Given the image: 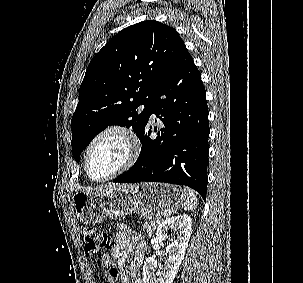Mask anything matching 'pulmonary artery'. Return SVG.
I'll return each instance as SVG.
<instances>
[{"mask_svg":"<svg viewBox=\"0 0 303 283\" xmlns=\"http://www.w3.org/2000/svg\"><path fill=\"white\" fill-rule=\"evenodd\" d=\"M152 118H155V114L152 115Z\"/></svg>","mask_w":303,"mask_h":283,"instance_id":"pulmonary-artery-1","label":"pulmonary artery"}]
</instances>
